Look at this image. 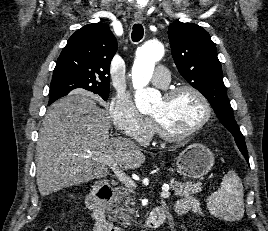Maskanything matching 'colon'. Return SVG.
<instances>
[{
	"label": "colon",
	"mask_w": 268,
	"mask_h": 231,
	"mask_svg": "<svg viewBox=\"0 0 268 231\" xmlns=\"http://www.w3.org/2000/svg\"><path fill=\"white\" fill-rule=\"evenodd\" d=\"M42 231H54V228L52 225L48 224V225L43 226ZM248 231H253V230L249 229Z\"/></svg>",
	"instance_id": "obj_1"
}]
</instances>
